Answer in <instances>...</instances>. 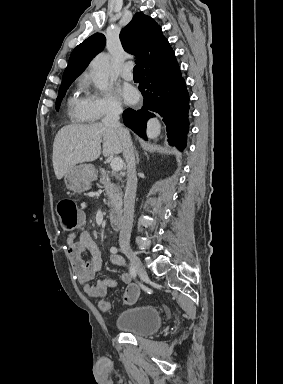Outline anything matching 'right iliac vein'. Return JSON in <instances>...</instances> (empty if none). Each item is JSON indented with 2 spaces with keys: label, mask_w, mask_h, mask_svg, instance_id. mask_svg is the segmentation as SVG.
<instances>
[{
  "label": "right iliac vein",
  "mask_w": 283,
  "mask_h": 384,
  "mask_svg": "<svg viewBox=\"0 0 283 384\" xmlns=\"http://www.w3.org/2000/svg\"><path fill=\"white\" fill-rule=\"evenodd\" d=\"M123 253L129 258L142 281L148 280V274L140 259L130 247H123Z\"/></svg>",
  "instance_id": "63e3f726"
}]
</instances>
